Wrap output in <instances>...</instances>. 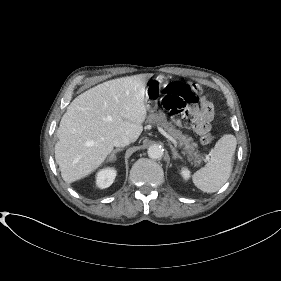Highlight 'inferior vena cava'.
Here are the masks:
<instances>
[{
	"label": "inferior vena cava",
	"instance_id": "obj_1",
	"mask_svg": "<svg viewBox=\"0 0 281 281\" xmlns=\"http://www.w3.org/2000/svg\"><path fill=\"white\" fill-rule=\"evenodd\" d=\"M131 143V139L127 136H119L113 140V144L116 147H125Z\"/></svg>",
	"mask_w": 281,
	"mask_h": 281
}]
</instances>
